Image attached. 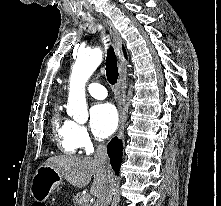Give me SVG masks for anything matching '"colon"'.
Masks as SVG:
<instances>
[{
    "mask_svg": "<svg viewBox=\"0 0 221 206\" xmlns=\"http://www.w3.org/2000/svg\"><path fill=\"white\" fill-rule=\"evenodd\" d=\"M32 206H45V205L42 204V203H35V204H33Z\"/></svg>",
    "mask_w": 221,
    "mask_h": 206,
    "instance_id": "1",
    "label": "colon"
}]
</instances>
